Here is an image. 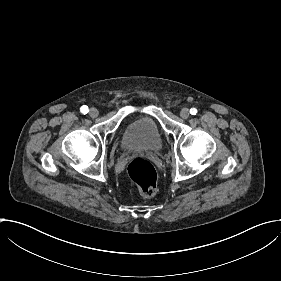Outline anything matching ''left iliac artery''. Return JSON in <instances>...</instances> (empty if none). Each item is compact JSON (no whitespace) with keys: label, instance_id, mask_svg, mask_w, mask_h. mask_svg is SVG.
Returning a JSON list of instances; mask_svg holds the SVG:
<instances>
[{"label":"left iliac artery","instance_id":"left-iliac-artery-1","mask_svg":"<svg viewBox=\"0 0 281 281\" xmlns=\"http://www.w3.org/2000/svg\"><path fill=\"white\" fill-rule=\"evenodd\" d=\"M196 113H197V109H195V108H191L190 109V114L191 115H196Z\"/></svg>","mask_w":281,"mask_h":281}]
</instances>
